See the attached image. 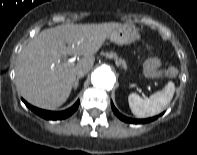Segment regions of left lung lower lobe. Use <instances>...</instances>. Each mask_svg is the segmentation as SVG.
<instances>
[{"instance_id": "0a47b994", "label": "left lung lower lobe", "mask_w": 197, "mask_h": 155, "mask_svg": "<svg viewBox=\"0 0 197 155\" xmlns=\"http://www.w3.org/2000/svg\"><path fill=\"white\" fill-rule=\"evenodd\" d=\"M111 107H112L113 112L116 114V116H117L119 119H121L122 121L127 122V123L143 124V123H148V122L154 121L155 119L158 118V116H155V117L147 118V119H132V118H128V117H125V116H123L122 114H120V113L117 111V109L114 107V105H113L112 102H111Z\"/></svg>"}]
</instances>
